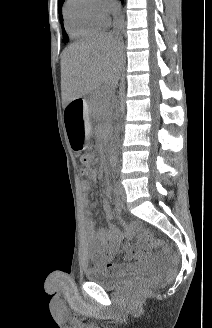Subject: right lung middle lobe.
I'll return each mask as SVG.
<instances>
[{
    "label": "right lung middle lobe",
    "instance_id": "obj_1",
    "mask_svg": "<svg viewBox=\"0 0 212 328\" xmlns=\"http://www.w3.org/2000/svg\"><path fill=\"white\" fill-rule=\"evenodd\" d=\"M63 2H64V0L59 1V15H60V21H61L62 26H63V21H62V14H61V5ZM63 41H64V43L68 42V35L65 33L64 28H63Z\"/></svg>",
    "mask_w": 212,
    "mask_h": 328
}]
</instances>
